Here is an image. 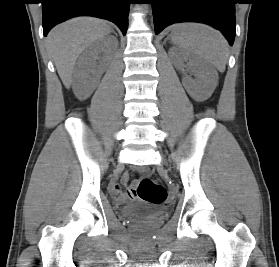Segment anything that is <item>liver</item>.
<instances>
[{"label": "liver", "mask_w": 279, "mask_h": 267, "mask_svg": "<svg viewBox=\"0 0 279 267\" xmlns=\"http://www.w3.org/2000/svg\"><path fill=\"white\" fill-rule=\"evenodd\" d=\"M106 21L94 17H77L54 27L47 36V46L54 59L57 72L69 88L79 55L95 40L109 34Z\"/></svg>", "instance_id": "1"}]
</instances>
